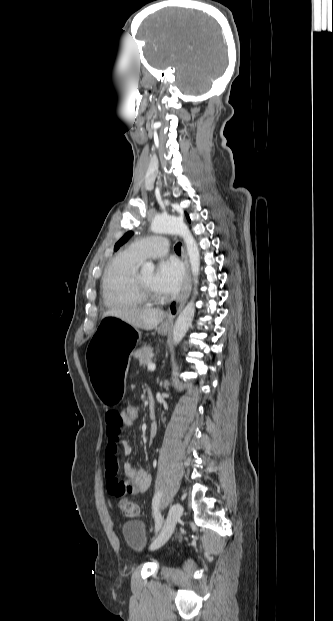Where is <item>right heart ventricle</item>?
Returning <instances> with one entry per match:
<instances>
[{
  "label": "right heart ventricle",
  "mask_w": 333,
  "mask_h": 621,
  "mask_svg": "<svg viewBox=\"0 0 333 621\" xmlns=\"http://www.w3.org/2000/svg\"><path fill=\"white\" fill-rule=\"evenodd\" d=\"M140 263L129 252L121 253L111 261L102 281V297L106 305L136 306L145 302L133 286L135 270Z\"/></svg>",
  "instance_id": "obj_1"
}]
</instances>
